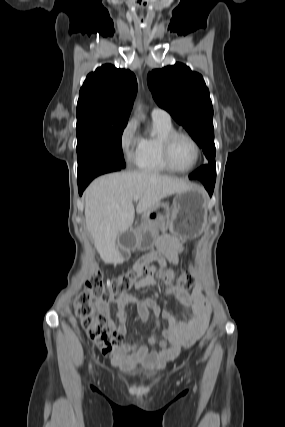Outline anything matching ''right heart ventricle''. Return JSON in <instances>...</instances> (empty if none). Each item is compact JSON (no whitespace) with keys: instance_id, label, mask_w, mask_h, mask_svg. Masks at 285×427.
<instances>
[{"instance_id":"1","label":"right heart ventricle","mask_w":285,"mask_h":427,"mask_svg":"<svg viewBox=\"0 0 285 427\" xmlns=\"http://www.w3.org/2000/svg\"><path fill=\"white\" fill-rule=\"evenodd\" d=\"M174 130L171 121L153 119L152 130L140 137L134 157V163L139 170L156 174L169 171L161 158V142Z\"/></svg>"}]
</instances>
